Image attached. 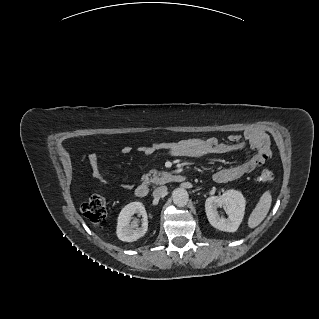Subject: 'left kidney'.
<instances>
[{
    "instance_id": "left-kidney-1",
    "label": "left kidney",
    "mask_w": 319,
    "mask_h": 319,
    "mask_svg": "<svg viewBox=\"0 0 319 319\" xmlns=\"http://www.w3.org/2000/svg\"><path fill=\"white\" fill-rule=\"evenodd\" d=\"M223 207L228 218L218 212ZM205 212L209 223L216 229L225 232H235L240 226L245 213V199L240 191L227 190L221 196H211L206 199Z\"/></svg>"
}]
</instances>
